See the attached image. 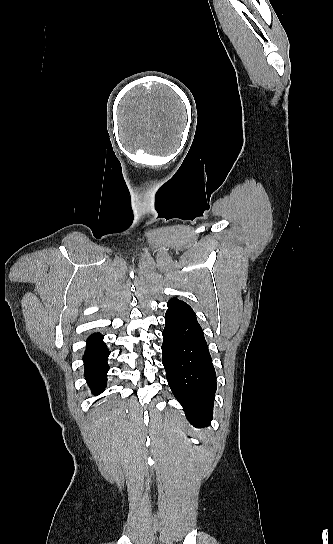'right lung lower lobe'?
Returning <instances> with one entry per match:
<instances>
[{"label":"right lung lower lobe","instance_id":"obj_1","mask_svg":"<svg viewBox=\"0 0 333 544\" xmlns=\"http://www.w3.org/2000/svg\"><path fill=\"white\" fill-rule=\"evenodd\" d=\"M109 354L110 351L103 342V335L94 333L87 338V346L83 355L84 376L94 395H99L106 388Z\"/></svg>","mask_w":333,"mask_h":544}]
</instances>
